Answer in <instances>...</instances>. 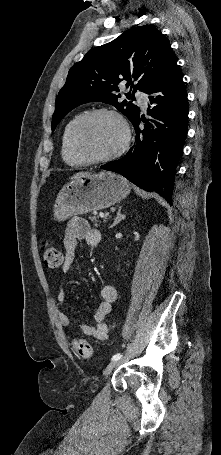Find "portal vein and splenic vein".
Masks as SVG:
<instances>
[{
  "label": "portal vein and splenic vein",
  "mask_w": 221,
  "mask_h": 455,
  "mask_svg": "<svg viewBox=\"0 0 221 455\" xmlns=\"http://www.w3.org/2000/svg\"><path fill=\"white\" fill-rule=\"evenodd\" d=\"M99 216H100L101 218H103V219H106V217H107V216L104 215V214H99Z\"/></svg>",
  "instance_id": "18ae733b"
}]
</instances>
